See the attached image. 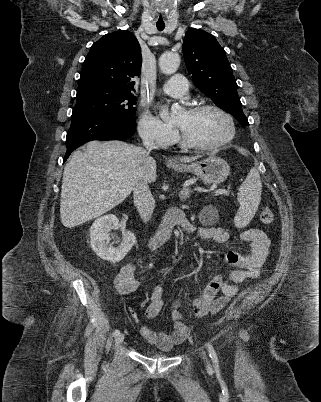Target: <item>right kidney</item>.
<instances>
[{"label":"right kidney","instance_id":"right-kidney-1","mask_svg":"<svg viewBox=\"0 0 321 402\" xmlns=\"http://www.w3.org/2000/svg\"><path fill=\"white\" fill-rule=\"evenodd\" d=\"M119 220L116 216L108 214L97 218L90 228V245L96 255L111 263L121 261L136 242L131 232L124 233L123 241L118 248L109 246L110 231L118 228Z\"/></svg>","mask_w":321,"mask_h":402}]
</instances>
